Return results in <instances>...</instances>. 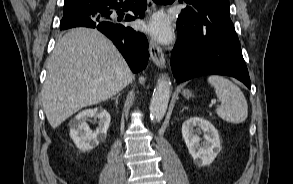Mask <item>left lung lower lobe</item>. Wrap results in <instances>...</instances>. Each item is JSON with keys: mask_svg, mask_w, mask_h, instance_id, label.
<instances>
[{"mask_svg": "<svg viewBox=\"0 0 293 184\" xmlns=\"http://www.w3.org/2000/svg\"><path fill=\"white\" fill-rule=\"evenodd\" d=\"M177 30L171 67L178 83L202 75L219 74L235 77L251 87L230 13L196 4L192 9L187 7L181 11Z\"/></svg>", "mask_w": 293, "mask_h": 184, "instance_id": "0a47b994", "label": "left lung lower lobe"}]
</instances>
